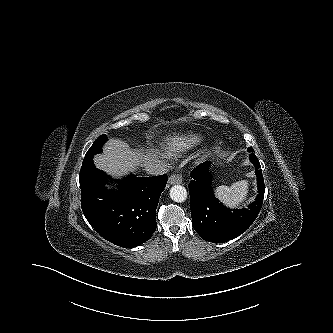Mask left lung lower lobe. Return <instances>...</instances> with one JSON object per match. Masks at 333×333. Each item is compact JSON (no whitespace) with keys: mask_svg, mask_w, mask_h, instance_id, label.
<instances>
[{"mask_svg":"<svg viewBox=\"0 0 333 333\" xmlns=\"http://www.w3.org/2000/svg\"><path fill=\"white\" fill-rule=\"evenodd\" d=\"M248 150L251 152L250 160L256 167L258 195L247 209H229L214 197L209 173L210 162L201 163L190 174L193 178L189 184L192 225L206 241L221 243L241 235L259 214L264 199V180L254 150Z\"/></svg>","mask_w":333,"mask_h":333,"instance_id":"1","label":"left lung lower lobe"}]
</instances>
